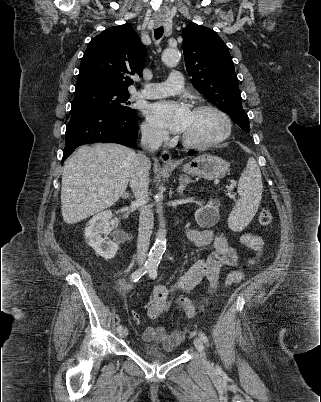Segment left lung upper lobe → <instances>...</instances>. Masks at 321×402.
<instances>
[{
	"label": "left lung upper lobe",
	"instance_id": "1",
	"mask_svg": "<svg viewBox=\"0 0 321 402\" xmlns=\"http://www.w3.org/2000/svg\"><path fill=\"white\" fill-rule=\"evenodd\" d=\"M182 37L185 65L195 89L249 132V118L242 107L238 78L227 45L215 31L195 23L183 30Z\"/></svg>",
	"mask_w": 321,
	"mask_h": 402
}]
</instances>
